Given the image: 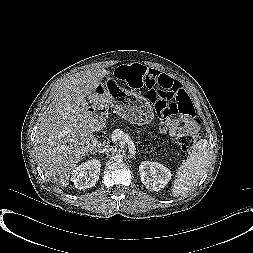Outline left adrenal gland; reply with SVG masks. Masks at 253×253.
Listing matches in <instances>:
<instances>
[{
    "label": "left adrenal gland",
    "instance_id": "a2214340",
    "mask_svg": "<svg viewBox=\"0 0 253 253\" xmlns=\"http://www.w3.org/2000/svg\"><path fill=\"white\" fill-rule=\"evenodd\" d=\"M130 158H135V156H134V155H131Z\"/></svg>",
    "mask_w": 253,
    "mask_h": 253
}]
</instances>
